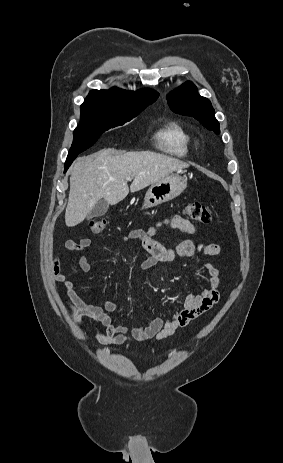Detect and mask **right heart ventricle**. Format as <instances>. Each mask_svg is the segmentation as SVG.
<instances>
[{
	"instance_id": "obj_1",
	"label": "right heart ventricle",
	"mask_w": 283,
	"mask_h": 463,
	"mask_svg": "<svg viewBox=\"0 0 283 463\" xmlns=\"http://www.w3.org/2000/svg\"><path fill=\"white\" fill-rule=\"evenodd\" d=\"M157 147L170 155L185 157L191 145L190 134L178 121H170L155 135Z\"/></svg>"
}]
</instances>
